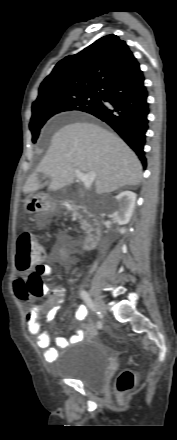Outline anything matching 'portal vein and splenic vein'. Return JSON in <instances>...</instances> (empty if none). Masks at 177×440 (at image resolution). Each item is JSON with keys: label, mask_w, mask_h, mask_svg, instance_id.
Instances as JSON below:
<instances>
[{"label": "portal vein and splenic vein", "mask_w": 177, "mask_h": 440, "mask_svg": "<svg viewBox=\"0 0 177 440\" xmlns=\"http://www.w3.org/2000/svg\"><path fill=\"white\" fill-rule=\"evenodd\" d=\"M75 175L77 179L83 182L85 189H89L91 187L96 177L95 172L83 173L78 168H75Z\"/></svg>", "instance_id": "obj_1"}]
</instances>
